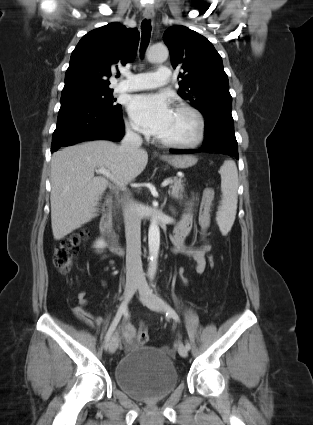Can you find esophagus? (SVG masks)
I'll list each match as a JSON object with an SVG mask.
<instances>
[{"mask_svg":"<svg viewBox=\"0 0 313 425\" xmlns=\"http://www.w3.org/2000/svg\"><path fill=\"white\" fill-rule=\"evenodd\" d=\"M154 10H153V8L152 7H147L145 10H144V13H143V16H144V18H146V19H152V18H154Z\"/></svg>","mask_w":313,"mask_h":425,"instance_id":"34e87169","label":"esophagus"}]
</instances>
